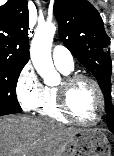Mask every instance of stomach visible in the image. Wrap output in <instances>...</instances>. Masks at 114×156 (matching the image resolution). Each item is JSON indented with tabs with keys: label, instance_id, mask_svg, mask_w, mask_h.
<instances>
[{
	"label": "stomach",
	"instance_id": "stomach-1",
	"mask_svg": "<svg viewBox=\"0 0 114 156\" xmlns=\"http://www.w3.org/2000/svg\"><path fill=\"white\" fill-rule=\"evenodd\" d=\"M56 156H111L106 135L97 129L79 130Z\"/></svg>",
	"mask_w": 114,
	"mask_h": 156
}]
</instances>
